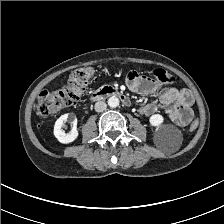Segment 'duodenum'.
Segmentation results:
<instances>
[{
    "mask_svg": "<svg viewBox=\"0 0 224 224\" xmlns=\"http://www.w3.org/2000/svg\"><path fill=\"white\" fill-rule=\"evenodd\" d=\"M112 96L119 98L126 107H129L131 105L130 99L123 92L110 86H104L92 93L90 96V101L95 102L103 98Z\"/></svg>",
    "mask_w": 224,
    "mask_h": 224,
    "instance_id": "410a0bca",
    "label": "duodenum"
}]
</instances>
